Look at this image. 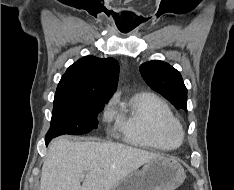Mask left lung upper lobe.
<instances>
[{"label":"left lung upper lobe","instance_id":"5c2ea615","mask_svg":"<svg viewBox=\"0 0 234 190\" xmlns=\"http://www.w3.org/2000/svg\"><path fill=\"white\" fill-rule=\"evenodd\" d=\"M145 82L176 108L187 109V88L179 71L168 63L154 60L140 66Z\"/></svg>","mask_w":234,"mask_h":190}]
</instances>
